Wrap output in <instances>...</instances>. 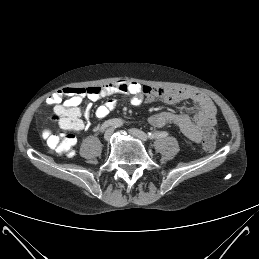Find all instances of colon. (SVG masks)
Masks as SVG:
<instances>
[{"mask_svg":"<svg viewBox=\"0 0 259 259\" xmlns=\"http://www.w3.org/2000/svg\"><path fill=\"white\" fill-rule=\"evenodd\" d=\"M53 119L59 121L61 127L64 131L59 133H52L49 131L47 137V144L50 148L54 149L57 153L65 155L67 157H72L74 155V148L76 144V139L74 135L66 132L70 130L69 127L72 126V120H65L60 113L54 112ZM216 146V131L214 125L209 126L206 129V135L203 140V148L207 152H211Z\"/></svg>","mask_w":259,"mask_h":259,"instance_id":"colon-1","label":"colon"}]
</instances>
